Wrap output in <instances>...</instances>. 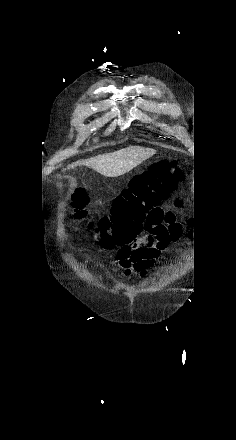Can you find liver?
Instances as JSON below:
<instances>
[{"mask_svg":"<svg viewBox=\"0 0 236 440\" xmlns=\"http://www.w3.org/2000/svg\"><path fill=\"white\" fill-rule=\"evenodd\" d=\"M155 153L154 149L130 146L112 153L77 161L69 165L68 169L85 165L105 177H118L129 172Z\"/></svg>","mask_w":236,"mask_h":440,"instance_id":"obj_1","label":"liver"}]
</instances>
